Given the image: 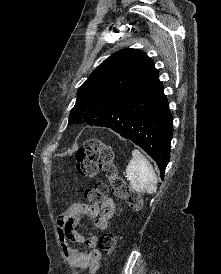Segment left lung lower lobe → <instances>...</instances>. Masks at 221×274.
<instances>
[{
	"instance_id": "left-lung-lower-lobe-1",
	"label": "left lung lower lobe",
	"mask_w": 221,
	"mask_h": 274,
	"mask_svg": "<svg viewBox=\"0 0 221 274\" xmlns=\"http://www.w3.org/2000/svg\"><path fill=\"white\" fill-rule=\"evenodd\" d=\"M93 117L91 125L111 128L140 146L155 160L164 178L173 132L172 115L158 72L136 98L99 109Z\"/></svg>"
}]
</instances>
